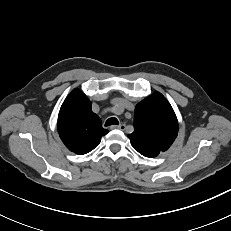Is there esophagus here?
<instances>
[{
    "label": "esophagus",
    "instance_id": "esophagus-1",
    "mask_svg": "<svg viewBox=\"0 0 231 231\" xmlns=\"http://www.w3.org/2000/svg\"><path fill=\"white\" fill-rule=\"evenodd\" d=\"M111 129H119V130H125L126 126L124 124H120L118 126H111Z\"/></svg>",
    "mask_w": 231,
    "mask_h": 231
}]
</instances>
